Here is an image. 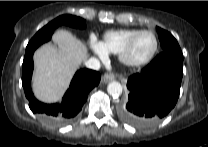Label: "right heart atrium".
I'll list each match as a JSON object with an SVG mask.
<instances>
[{
    "label": "right heart atrium",
    "instance_id": "1",
    "mask_svg": "<svg viewBox=\"0 0 208 147\" xmlns=\"http://www.w3.org/2000/svg\"><path fill=\"white\" fill-rule=\"evenodd\" d=\"M89 44L93 52L101 58H105L108 54L104 44L95 35L89 38Z\"/></svg>",
    "mask_w": 208,
    "mask_h": 147
}]
</instances>
